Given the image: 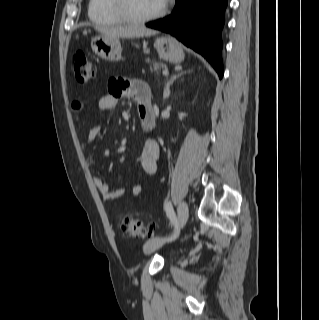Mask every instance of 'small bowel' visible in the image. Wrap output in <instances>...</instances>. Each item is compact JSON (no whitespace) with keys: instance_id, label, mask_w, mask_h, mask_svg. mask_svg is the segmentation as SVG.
<instances>
[{"instance_id":"1","label":"small bowel","mask_w":319,"mask_h":320,"mask_svg":"<svg viewBox=\"0 0 319 320\" xmlns=\"http://www.w3.org/2000/svg\"><path fill=\"white\" fill-rule=\"evenodd\" d=\"M134 98L137 102L138 112L144 108L153 107L150 98V91L147 84L140 80H128L123 78H112L109 81L108 93L98 100V109L107 111L114 109L120 99ZM80 104H75V109L78 110ZM101 128L94 126L86 133L83 147L89 146L100 134ZM160 148L158 143L153 139L145 141L141 153L136 158V163L140 166L143 172L152 175L157 170ZM94 183L97 186L105 201H113L121 197L126 188L111 189L109 184L101 177H94ZM142 192V186L135 183L130 187L132 198L138 197Z\"/></svg>"}]
</instances>
